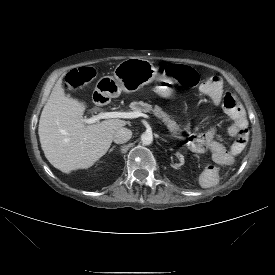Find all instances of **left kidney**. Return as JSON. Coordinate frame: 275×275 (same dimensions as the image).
I'll return each instance as SVG.
<instances>
[{
    "label": "left kidney",
    "instance_id": "1",
    "mask_svg": "<svg viewBox=\"0 0 275 275\" xmlns=\"http://www.w3.org/2000/svg\"><path fill=\"white\" fill-rule=\"evenodd\" d=\"M177 157L180 159L176 160L175 158H172L170 161H169V164L175 168V169H182L183 168V165H184V156L180 153L177 154Z\"/></svg>",
    "mask_w": 275,
    "mask_h": 275
}]
</instances>
